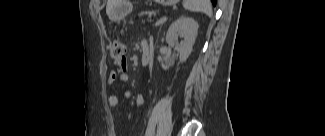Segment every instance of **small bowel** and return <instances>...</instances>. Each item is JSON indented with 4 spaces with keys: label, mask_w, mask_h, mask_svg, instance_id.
Instances as JSON below:
<instances>
[{
    "label": "small bowel",
    "mask_w": 325,
    "mask_h": 136,
    "mask_svg": "<svg viewBox=\"0 0 325 136\" xmlns=\"http://www.w3.org/2000/svg\"><path fill=\"white\" fill-rule=\"evenodd\" d=\"M118 70L110 71L107 75V83L112 84L116 79H119L122 83H127L129 81V75L126 72V61L117 62ZM123 98L125 100H130L132 98V92L130 90H125L123 92ZM119 103V97L116 94H111L108 97V104L111 107L117 106ZM135 105L137 107H142L144 105V97L142 95H137L135 98Z\"/></svg>",
    "instance_id": "obj_1"
}]
</instances>
